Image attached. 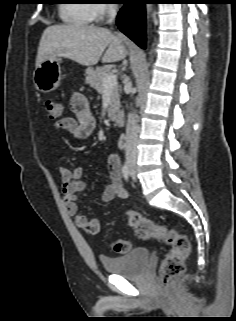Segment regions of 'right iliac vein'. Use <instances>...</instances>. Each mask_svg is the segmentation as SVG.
<instances>
[{"label":"right iliac vein","instance_id":"obj_1","mask_svg":"<svg viewBox=\"0 0 236 321\" xmlns=\"http://www.w3.org/2000/svg\"><path fill=\"white\" fill-rule=\"evenodd\" d=\"M130 166H132V163L129 161ZM132 170L134 171V168L132 167Z\"/></svg>","mask_w":236,"mask_h":321}]
</instances>
